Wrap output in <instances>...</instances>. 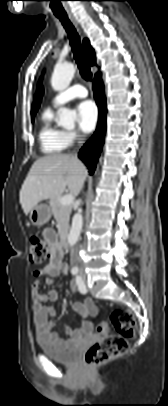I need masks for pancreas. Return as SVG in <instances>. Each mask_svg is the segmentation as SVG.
<instances>
[{
	"instance_id": "pancreas-1",
	"label": "pancreas",
	"mask_w": 168,
	"mask_h": 406,
	"mask_svg": "<svg viewBox=\"0 0 168 406\" xmlns=\"http://www.w3.org/2000/svg\"><path fill=\"white\" fill-rule=\"evenodd\" d=\"M61 196L51 198L49 205L51 212L58 223V234L64 236L69 229V218L72 211V205H61Z\"/></svg>"
}]
</instances>
